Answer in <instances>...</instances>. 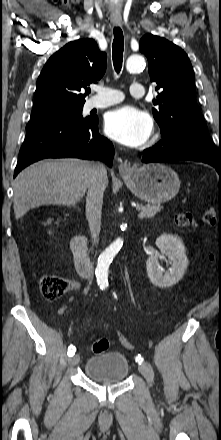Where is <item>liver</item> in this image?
<instances>
[{
  "label": "liver",
  "mask_w": 221,
  "mask_h": 440,
  "mask_svg": "<svg viewBox=\"0 0 221 440\" xmlns=\"http://www.w3.org/2000/svg\"><path fill=\"white\" fill-rule=\"evenodd\" d=\"M91 169L92 163L80 159L43 160L30 165L14 182L15 218L41 205H75L88 189Z\"/></svg>",
  "instance_id": "6515ba94"
}]
</instances>
